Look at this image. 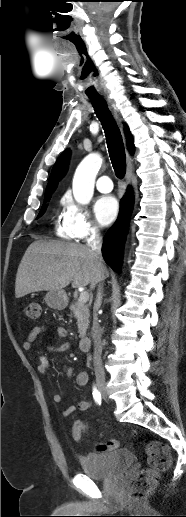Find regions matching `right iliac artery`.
Instances as JSON below:
<instances>
[{
    "mask_svg": "<svg viewBox=\"0 0 186 517\" xmlns=\"http://www.w3.org/2000/svg\"><path fill=\"white\" fill-rule=\"evenodd\" d=\"M92 395H93L95 402L100 405L101 401H102V397H101V393L99 392V390L97 389L96 386L93 387Z\"/></svg>",
    "mask_w": 186,
    "mask_h": 517,
    "instance_id": "obj_1",
    "label": "right iliac artery"
}]
</instances>
